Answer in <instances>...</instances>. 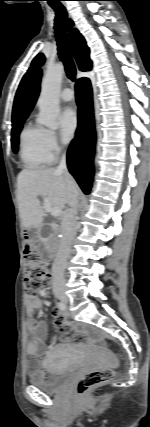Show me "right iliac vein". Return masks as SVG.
<instances>
[{
    "label": "right iliac vein",
    "instance_id": "right-iliac-vein-1",
    "mask_svg": "<svg viewBox=\"0 0 150 427\" xmlns=\"http://www.w3.org/2000/svg\"><path fill=\"white\" fill-rule=\"evenodd\" d=\"M55 294H56V297L59 298L60 300H62L63 302L66 303L68 301L67 296L65 295V293L62 290L57 291Z\"/></svg>",
    "mask_w": 150,
    "mask_h": 427
}]
</instances>
